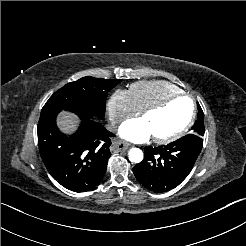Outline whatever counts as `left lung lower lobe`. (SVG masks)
Returning a JSON list of instances; mask_svg holds the SVG:
<instances>
[{
  "mask_svg": "<svg viewBox=\"0 0 246 246\" xmlns=\"http://www.w3.org/2000/svg\"><path fill=\"white\" fill-rule=\"evenodd\" d=\"M202 145V137L188 134L168 145L145 147V157L133 168L134 175L149 190L169 191L190 173Z\"/></svg>",
  "mask_w": 246,
  "mask_h": 246,
  "instance_id": "obj_1",
  "label": "left lung lower lobe"
}]
</instances>
